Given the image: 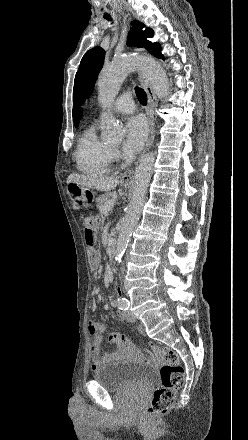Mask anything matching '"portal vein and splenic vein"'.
Masks as SVG:
<instances>
[{
	"mask_svg": "<svg viewBox=\"0 0 248 440\" xmlns=\"http://www.w3.org/2000/svg\"><path fill=\"white\" fill-rule=\"evenodd\" d=\"M114 204H115V201H114V200H112L109 204H107V205L104 207V211H105V213L108 212V211H110V210L112 209V207L114 206Z\"/></svg>",
	"mask_w": 248,
	"mask_h": 440,
	"instance_id": "obj_1",
	"label": "portal vein and splenic vein"
}]
</instances>
